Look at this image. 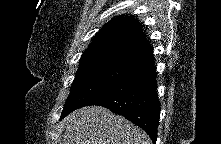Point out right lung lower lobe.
<instances>
[{"label":"right lung lower lobe","instance_id":"obj_1","mask_svg":"<svg viewBox=\"0 0 221 144\" xmlns=\"http://www.w3.org/2000/svg\"><path fill=\"white\" fill-rule=\"evenodd\" d=\"M156 89V67L151 53L119 81L91 98L85 106H103L124 116L145 130L155 143L160 117Z\"/></svg>","mask_w":221,"mask_h":144}]
</instances>
